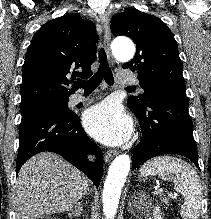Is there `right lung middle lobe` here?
I'll return each instance as SVG.
<instances>
[{
  "mask_svg": "<svg viewBox=\"0 0 211 219\" xmlns=\"http://www.w3.org/2000/svg\"><path fill=\"white\" fill-rule=\"evenodd\" d=\"M68 100L69 99H47L21 104L20 111L22 120L51 110L70 112V110L67 108Z\"/></svg>",
  "mask_w": 211,
  "mask_h": 219,
  "instance_id": "right-lung-middle-lobe-1",
  "label": "right lung middle lobe"
}]
</instances>
